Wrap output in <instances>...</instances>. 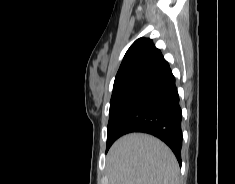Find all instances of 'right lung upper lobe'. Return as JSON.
Segmentation results:
<instances>
[{
	"instance_id": "1",
	"label": "right lung upper lobe",
	"mask_w": 235,
	"mask_h": 184,
	"mask_svg": "<svg viewBox=\"0 0 235 184\" xmlns=\"http://www.w3.org/2000/svg\"><path fill=\"white\" fill-rule=\"evenodd\" d=\"M163 61L164 57L151 39L139 38L125 54L113 90L129 88Z\"/></svg>"
}]
</instances>
